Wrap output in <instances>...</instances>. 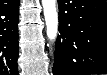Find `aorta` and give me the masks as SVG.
<instances>
[{
  "label": "aorta",
  "mask_w": 107,
  "mask_h": 75,
  "mask_svg": "<svg viewBox=\"0 0 107 75\" xmlns=\"http://www.w3.org/2000/svg\"><path fill=\"white\" fill-rule=\"evenodd\" d=\"M43 13L46 24L47 38L50 43L56 40L58 32V14L56 0H42Z\"/></svg>",
  "instance_id": "aorta-1"
}]
</instances>
